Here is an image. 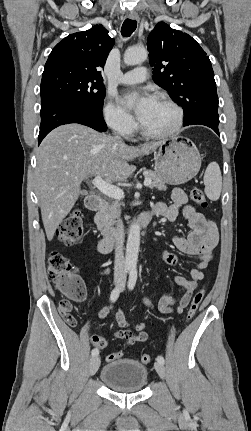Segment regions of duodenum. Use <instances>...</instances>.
<instances>
[{"label": "duodenum", "instance_id": "obj_1", "mask_svg": "<svg viewBox=\"0 0 251 431\" xmlns=\"http://www.w3.org/2000/svg\"><path fill=\"white\" fill-rule=\"evenodd\" d=\"M86 206L91 211H98L104 206V200L97 195H91L86 199ZM152 218L150 211L140 215L137 223L141 228L146 227ZM117 243V234L115 232L105 233L98 242V251L102 254H107L113 250Z\"/></svg>", "mask_w": 251, "mask_h": 431}]
</instances>
